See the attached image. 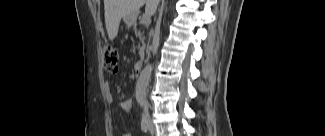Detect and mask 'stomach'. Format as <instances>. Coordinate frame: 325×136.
Returning <instances> with one entry per match:
<instances>
[{"instance_id":"stomach-1","label":"stomach","mask_w":325,"mask_h":136,"mask_svg":"<svg viewBox=\"0 0 325 136\" xmlns=\"http://www.w3.org/2000/svg\"><path fill=\"white\" fill-rule=\"evenodd\" d=\"M137 17L136 15H128L124 17V21L128 24V25H133L136 21Z\"/></svg>"}]
</instances>
